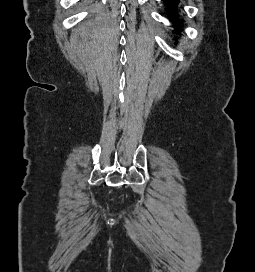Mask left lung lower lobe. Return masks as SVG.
Returning a JSON list of instances; mask_svg holds the SVG:
<instances>
[{
	"mask_svg": "<svg viewBox=\"0 0 255 272\" xmlns=\"http://www.w3.org/2000/svg\"><path fill=\"white\" fill-rule=\"evenodd\" d=\"M163 1L167 6L170 7L169 14L171 15L172 19L175 18L177 16L175 8L176 6H178L179 0H163ZM177 26H179V24L175 25L176 28Z\"/></svg>",
	"mask_w": 255,
	"mask_h": 272,
	"instance_id": "left-lung-lower-lobe-1",
	"label": "left lung lower lobe"
}]
</instances>
